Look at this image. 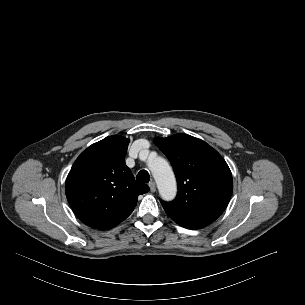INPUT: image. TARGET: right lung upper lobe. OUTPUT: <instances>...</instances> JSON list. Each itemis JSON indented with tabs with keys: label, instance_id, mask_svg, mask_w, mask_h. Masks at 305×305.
<instances>
[{
	"label": "right lung upper lobe",
	"instance_id": "1",
	"mask_svg": "<svg viewBox=\"0 0 305 305\" xmlns=\"http://www.w3.org/2000/svg\"><path fill=\"white\" fill-rule=\"evenodd\" d=\"M129 140L112 135L88 147L73 164L65 184L67 200L87 226L107 230L125 220L149 187L125 164Z\"/></svg>",
	"mask_w": 305,
	"mask_h": 305
}]
</instances>
